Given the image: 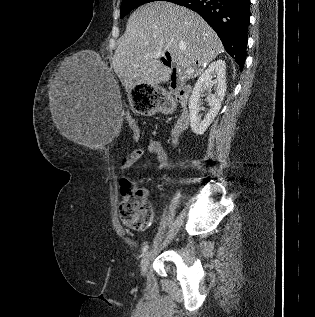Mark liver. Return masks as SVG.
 Here are the masks:
<instances>
[{
	"label": "liver",
	"mask_w": 315,
	"mask_h": 317,
	"mask_svg": "<svg viewBox=\"0 0 315 317\" xmlns=\"http://www.w3.org/2000/svg\"><path fill=\"white\" fill-rule=\"evenodd\" d=\"M222 50L217 34L197 13L170 2H152L139 7L128 19L111 66L122 85L132 89L169 80L171 69L159 59L165 51L178 68L194 69L188 77H197ZM60 87L53 89L50 99L53 121L64 137L85 144L69 89L64 81Z\"/></svg>",
	"instance_id": "6515ba94"
}]
</instances>
